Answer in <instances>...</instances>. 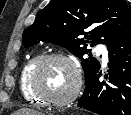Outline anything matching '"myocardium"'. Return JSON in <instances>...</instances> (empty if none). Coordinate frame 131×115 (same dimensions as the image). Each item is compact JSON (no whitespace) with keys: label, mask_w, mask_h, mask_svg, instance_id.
I'll return each instance as SVG.
<instances>
[{"label":"myocardium","mask_w":131,"mask_h":115,"mask_svg":"<svg viewBox=\"0 0 131 115\" xmlns=\"http://www.w3.org/2000/svg\"><path fill=\"white\" fill-rule=\"evenodd\" d=\"M52 61H64L68 63L75 74V84L72 91L64 98H52L43 92L38 84V79L43 68ZM30 88L34 95H36L43 103L54 106L63 107L73 102L79 95L82 88V73L77 62L70 56L53 53L43 56L34 66L30 75Z\"/></svg>","instance_id":"f54148a6"}]
</instances>
